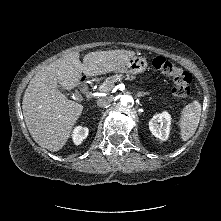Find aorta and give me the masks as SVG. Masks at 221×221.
<instances>
[{
    "mask_svg": "<svg viewBox=\"0 0 221 221\" xmlns=\"http://www.w3.org/2000/svg\"><path fill=\"white\" fill-rule=\"evenodd\" d=\"M133 102V98L129 95H123L121 97V105L127 106L128 104H131Z\"/></svg>",
    "mask_w": 221,
    "mask_h": 221,
    "instance_id": "762f6f07",
    "label": "aorta"
}]
</instances>
